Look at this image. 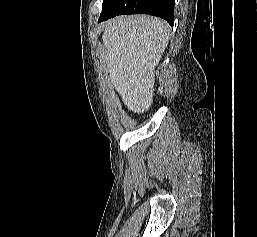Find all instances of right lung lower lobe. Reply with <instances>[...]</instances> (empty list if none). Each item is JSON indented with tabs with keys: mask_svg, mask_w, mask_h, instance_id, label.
I'll list each match as a JSON object with an SVG mask.
<instances>
[{
	"mask_svg": "<svg viewBox=\"0 0 257 237\" xmlns=\"http://www.w3.org/2000/svg\"><path fill=\"white\" fill-rule=\"evenodd\" d=\"M174 0H114L102 8L99 22L122 14H149L174 24Z\"/></svg>",
	"mask_w": 257,
	"mask_h": 237,
	"instance_id": "obj_1",
	"label": "right lung lower lobe"
}]
</instances>
